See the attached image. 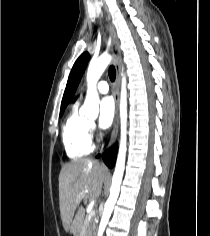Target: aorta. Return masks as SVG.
<instances>
[{
	"label": "aorta",
	"mask_w": 210,
	"mask_h": 236,
	"mask_svg": "<svg viewBox=\"0 0 210 236\" xmlns=\"http://www.w3.org/2000/svg\"><path fill=\"white\" fill-rule=\"evenodd\" d=\"M112 57L106 53L100 55L96 59H92L87 70V94L84 105L81 109V113L88 118H96L99 112V95L96 90V84L101 75L105 71L106 67L111 62ZM120 120H121V138L119 145V152L116 161L114 174L112 177V185L110 188V195L107 199L104 207V212L101 218L99 226V235L104 232V229L109 221L115 203L117 201L120 186L125 169L126 158V136H127V90H126V78L123 76L121 84V96H120Z\"/></svg>",
	"instance_id": "762f6f07"
}]
</instances>
